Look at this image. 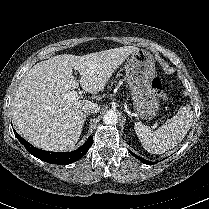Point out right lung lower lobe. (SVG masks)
Wrapping results in <instances>:
<instances>
[{
	"instance_id": "1",
	"label": "right lung lower lobe",
	"mask_w": 209,
	"mask_h": 209,
	"mask_svg": "<svg viewBox=\"0 0 209 209\" xmlns=\"http://www.w3.org/2000/svg\"><path fill=\"white\" fill-rule=\"evenodd\" d=\"M14 134L24 147L35 157L42 161L58 165H67L83 157L92 145V137L89 138L80 148L72 152H49L35 148L23 139L15 130Z\"/></svg>"
}]
</instances>
